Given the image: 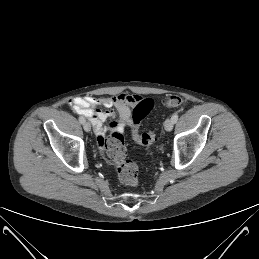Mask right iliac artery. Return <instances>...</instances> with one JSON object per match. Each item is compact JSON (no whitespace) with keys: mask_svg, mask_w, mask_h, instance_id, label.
I'll list each match as a JSON object with an SVG mask.
<instances>
[{"mask_svg":"<svg viewBox=\"0 0 259 259\" xmlns=\"http://www.w3.org/2000/svg\"><path fill=\"white\" fill-rule=\"evenodd\" d=\"M79 121H80V123L83 124V123L85 122V118H84L83 116H80V117H79Z\"/></svg>","mask_w":259,"mask_h":259,"instance_id":"right-iliac-artery-1","label":"right iliac artery"}]
</instances>
